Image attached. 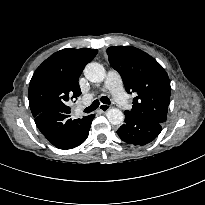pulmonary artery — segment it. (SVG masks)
Returning <instances> with one entry per match:
<instances>
[{
	"instance_id": "1",
	"label": "pulmonary artery",
	"mask_w": 205,
	"mask_h": 205,
	"mask_svg": "<svg viewBox=\"0 0 205 205\" xmlns=\"http://www.w3.org/2000/svg\"><path fill=\"white\" fill-rule=\"evenodd\" d=\"M104 88L111 92L115 101L121 108L128 107V96L124 91L121 77L117 72L109 71L107 73ZM93 96L94 93H90L86 96V99H91Z\"/></svg>"
}]
</instances>
